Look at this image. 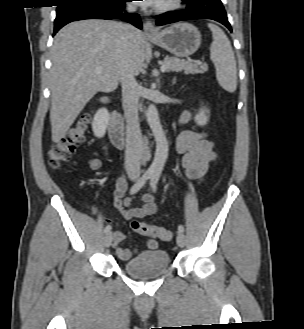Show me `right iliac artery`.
Returning a JSON list of instances; mask_svg holds the SVG:
<instances>
[{"instance_id": "1", "label": "right iliac artery", "mask_w": 304, "mask_h": 329, "mask_svg": "<svg viewBox=\"0 0 304 329\" xmlns=\"http://www.w3.org/2000/svg\"><path fill=\"white\" fill-rule=\"evenodd\" d=\"M153 173L150 171L145 172L140 178L139 180L131 187L130 189V194H135L137 193L142 186L146 183V181L148 179H150L152 177ZM111 230V226L107 225L104 229L105 233H108Z\"/></svg>"}]
</instances>
